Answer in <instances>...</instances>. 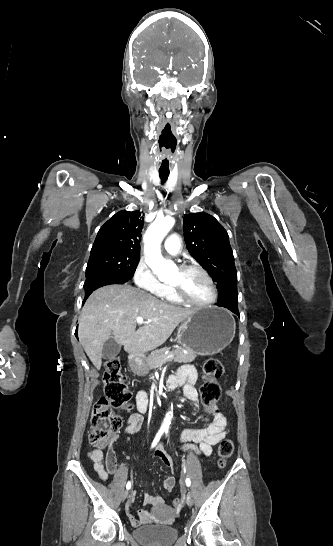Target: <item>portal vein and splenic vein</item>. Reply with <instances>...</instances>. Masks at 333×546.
Listing matches in <instances>:
<instances>
[{
  "label": "portal vein and splenic vein",
  "instance_id": "1",
  "mask_svg": "<svg viewBox=\"0 0 333 546\" xmlns=\"http://www.w3.org/2000/svg\"><path fill=\"white\" fill-rule=\"evenodd\" d=\"M136 323L139 324V325H142V324H148L149 321H145L144 318L142 317H137L136 318ZM174 357V354H169L165 359H169V358H172Z\"/></svg>",
  "mask_w": 333,
  "mask_h": 546
}]
</instances>
